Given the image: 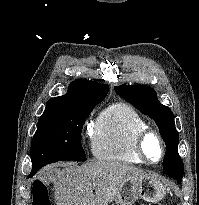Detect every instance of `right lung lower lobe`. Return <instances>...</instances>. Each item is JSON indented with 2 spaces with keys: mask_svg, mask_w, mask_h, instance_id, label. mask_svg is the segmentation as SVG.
Listing matches in <instances>:
<instances>
[{
  "mask_svg": "<svg viewBox=\"0 0 199 205\" xmlns=\"http://www.w3.org/2000/svg\"><path fill=\"white\" fill-rule=\"evenodd\" d=\"M29 177L31 178V177H32V175H29V176H28V178H29Z\"/></svg>",
  "mask_w": 199,
  "mask_h": 205,
  "instance_id": "right-lung-lower-lobe-1",
  "label": "right lung lower lobe"
}]
</instances>
